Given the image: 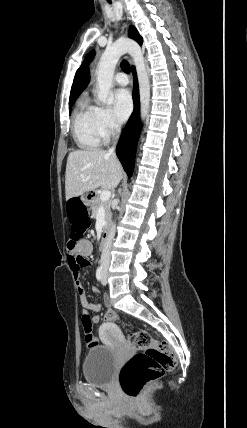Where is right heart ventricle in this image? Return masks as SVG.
<instances>
[{
  "label": "right heart ventricle",
  "instance_id": "e07e8e85",
  "mask_svg": "<svg viewBox=\"0 0 247 428\" xmlns=\"http://www.w3.org/2000/svg\"><path fill=\"white\" fill-rule=\"evenodd\" d=\"M73 136L82 149L100 146L102 137L97 125V108L87 99L78 104L73 116Z\"/></svg>",
  "mask_w": 247,
  "mask_h": 428
}]
</instances>
